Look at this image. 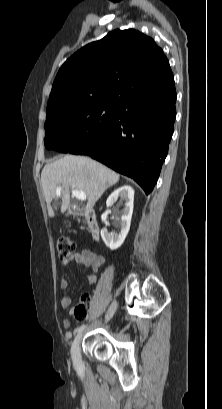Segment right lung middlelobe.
Returning <instances> with one entry per match:
<instances>
[{
    "mask_svg": "<svg viewBox=\"0 0 222 409\" xmlns=\"http://www.w3.org/2000/svg\"><path fill=\"white\" fill-rule=\"evenodd\" d=\"M116 102L72 104L46 115L45 147L85 155L99 149L118 109Z\"/></svg>",
    "mask_w": 222,
    "mask_h": 409,
    "instance_id": "1",
    "label": "right lung middle lobe"
}]
</instances>
